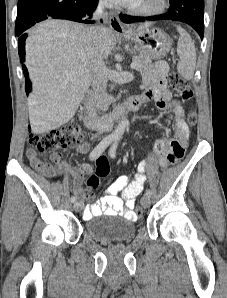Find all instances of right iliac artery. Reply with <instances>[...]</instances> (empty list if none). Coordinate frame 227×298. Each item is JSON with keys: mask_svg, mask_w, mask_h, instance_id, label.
<instances>
[{"mask_svg": "<svg viewBox=\"0 0 227 298\" xmlns=\"http://www.w3.org/2000/svg\"><path fill=\"white\" fill-rule=\"evenodd\" d=\"M114 141V138L111 136L105 137L90 153V160L97 159L104 151L105 149ZM77 198L75 196L71 197V202H76Z\"/></svg>", "mask_w": 227, "mask_h": 298, "instance_id": "1", "label": "right iliac artery"}]
</instances>
